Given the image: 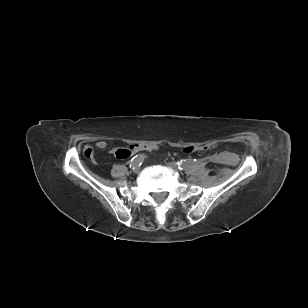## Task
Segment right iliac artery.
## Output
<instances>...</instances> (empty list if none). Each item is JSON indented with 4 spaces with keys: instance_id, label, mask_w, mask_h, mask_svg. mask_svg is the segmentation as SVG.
I'll list each match as a JSON object with an SVG mask.
<instances>
[{
    "instance_id": "1",
    "label": "right iliac artery",
    "mask_w": 308,
    "mask_h": 308,
    "mask_svg": "<svg viewBox=\"0 0 308 308\" xmlns=\"http://www.w3.org/2000/svg\"><path fill=\"white\" fill-rule=\"evenodd\" d=\"M146 158V156L144 154H140V155H136L135 157H133L130 161V167H136V166H140L144 159Z\"/></svg>"
}]
</instances>
